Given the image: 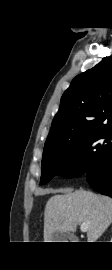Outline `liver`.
I'll list each match as a JSON object with an SVG mask.
<instances>
[{"instance_id": "1", "label": "liver", "mask_w": 112, "mask_h": 270, "mask_svg": "<svg viewBox=\"0 0 112 270\" xmlns=\"http://www.w3.org/2000/svg\"><path fill=\"white\" fill-rule=\"evenodd\" d=\"M44 213V242H53L55 232H75L77 225L89 223L87 242H96L112 223V199L90 191L57 190Z\"/></svg>"}]
</instances>
